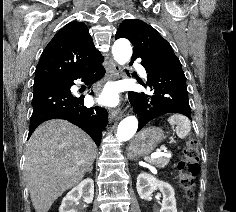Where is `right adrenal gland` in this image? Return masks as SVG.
Listing matches in <instances>:
<instances>
[{
    "instance_id": "2a0ac1e0",
    "label": "right adrenal gland",
    "mask_w": 236,
    "mask_h": 212,
    "mask_svg": "<svg viewBox=\"0 0 236 212\" xmlns=\"http://www.w3.org/2000/svg\"><path fill=\"white\" fill-rule=\"evenodd\" d=\"M93 165L90 166V168L87 170V172L90 174L92 173Z\"/></svg>"
}]
</instances>
